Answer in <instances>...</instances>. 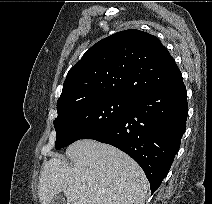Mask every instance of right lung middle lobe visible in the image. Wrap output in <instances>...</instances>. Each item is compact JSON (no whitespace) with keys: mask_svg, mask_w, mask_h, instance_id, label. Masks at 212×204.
Masks as SVG:
<instances>
[{"mask_svg":"<svg viewBox=\"0 0 212 204\" xmlns=\"http://www.w3.org/2000/svg\"><path fill=\"white\" fill-rule=\"evenodd\" d=\"M132 105L124 96L94 98L62 107L54 120L57 150L106 130L120 121Z\"/></svg>","mask_w":212,"mask_h":204,"instance_id":"1","label":"right lung middle lobe"}]
</instances>
